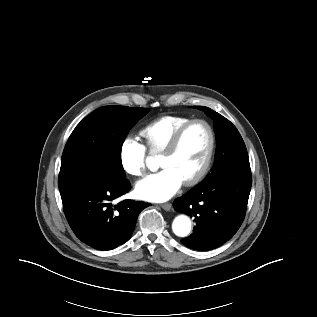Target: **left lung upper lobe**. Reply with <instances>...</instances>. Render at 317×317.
I'll use <instances>...</instances> for the list:
<instances>
[{
	"mask_svg": "<svg viewBox=\"0 0 317 317\" xmlns=\"http://www.w3.org/2000/svg\"><path fill=\"white\" fill-rule=\"evenodd\" d=\"M197 108L214 120L217 140L214 166L203 182L218 180L235 171L250 172L246 146L236 127L208 107L197 106Z\"/></svg>",
	"mask_w": 317,
	"mask_h": 317,
	"instance_id": "5c2ea615",
	"label": "left lung upper lobe"
}]
</instances>
